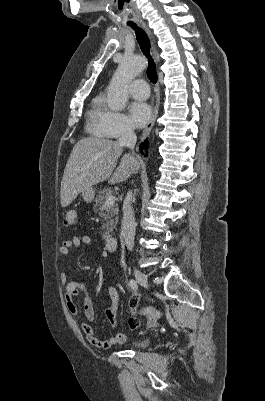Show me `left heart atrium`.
<instances>
[{"label":"left heart atrium","mask_w":265,"mask_h":401,"mask_svg":"<svg viewBox=\"0 0 265 401\" xmlns=\"http://www.w3.org/2000/svg\"><path fill=\"white\" fill-rule=\"evenodd\" d=\"M128 113L137 127H143L150 120L151 108L143 101H133L128 105Z\"/></svg>","instance_id":"1"}]
</instances>
